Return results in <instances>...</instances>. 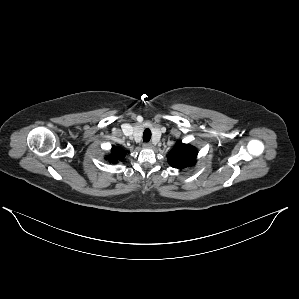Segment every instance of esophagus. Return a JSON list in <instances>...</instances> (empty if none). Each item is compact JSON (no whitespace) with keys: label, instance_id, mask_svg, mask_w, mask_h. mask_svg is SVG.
<instances>
[{"label":"esophagus","instance_id":"1","mask_svg":"<svg viewBox=\"0 0 299 299\" xmlns=\"http://www.w3.org/2000/svg\"><path fill=\"white\" fill-rule=\"evenodd\" d=\"M143 146H144L145 148H151V147H152V143H151V142H145V143L143 144Z\"/></svg>","mask_w":299,"mask_h":299}]
</instances>
